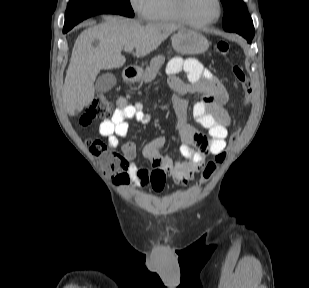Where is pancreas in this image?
<instances>
[{"label": "pancreas", "mask_w": 309, "mask_h": 288, "mask_svg": "<svg viewBox=\"0 0 309 288\" xmlns=\"http://www.w3.org/2000/svg\"><path fill=\"white\" fill-rule=\"evenodd\" d=\"M164 62L165 57L163 55H158L152 58L150 61V65L146 67L142 81L151 82L152 80H154Z\"/></svg>", "instance_id": "1"}]
</instances>
